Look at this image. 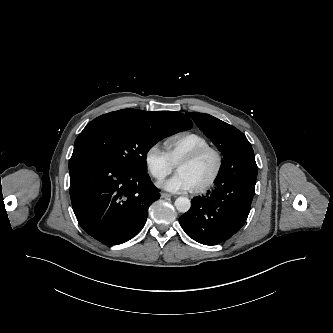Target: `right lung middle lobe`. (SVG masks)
Listing matches in <instances>:
<instances>
[{
  "label": "right lung middle lobe",
  "mask_w": 333,
  "mask_h": 333,
  "mask_svg": "<svg viewBox=\"0 0 333 333\" xmlns=\"http://www.w3.org/2000/svg\"><path fill=\"white\" fill-rule=\"evenodd\" d=\"M187 129L180 123L155 124L108 113L83 129L75 141L74 150H91L130 172L147 173L148 150L158 140Z\"/></svg>",
  "instance_id": "right-lung-middle-lobe-1"
}]
</instances>
